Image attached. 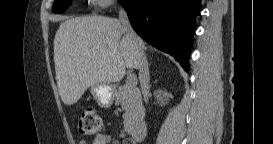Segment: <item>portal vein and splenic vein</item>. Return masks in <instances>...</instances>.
<instances>
[{
  "instance_id": "1",
  "label": "portal vein and splenic vein",
  "mask_w": 273,
  "mask_h": 144,
  "mask_svg": "<svg viewBox=\"0 0 273 144\" xmlns=\"http://www.w3.org/2000/svg\"><path fill=\"white\" fill-rule=\"evenodd\" d=\"M126 84L130 87L136 86L137 85V79L134 75H130L127 78Z\"/></svg>"
}]
</instances>
